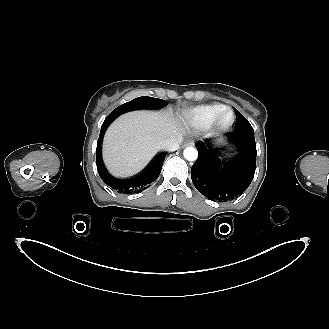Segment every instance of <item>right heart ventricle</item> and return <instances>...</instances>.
<instances>
[{"instance_id": "e07e8e85", "label": "right heart ventricle", "mask_w": 329, "mask_h": 329, "mask_svg": "<svg viewBox=\"0 0 329 329\" xmlns=\"http://www.w3.org/2000/svg\"><path fill=\"white\" fill-rule=\"evenodd\" d=\"M226 106L223 104L201 105L183 111L179 118L186 125L196 128H206Z\"/></svg>"}]
</instances>
